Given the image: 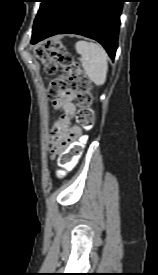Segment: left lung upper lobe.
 I'll use <instances>...</instances> for the list:
<instances>
[{
    "mask_svg": "<svg viewBox=\"0 0 158 275\" xmlns=\"http://www.w3.org/2000/svg\"><path fill=\"white\" fill-rule=\"evenodd\" d=\"M52 1L53 0H41V6H40L38 14L35 18L33 30H35L38 26H40L42 24V22L44 20L46 9Z\"/></svg>",
    "mask_w": 158,
    "mask_h": 275,
    "instance_id": "left-lung-upper-lobe-1",
    "label": "left lung upper lobe"
}]
</instances>
